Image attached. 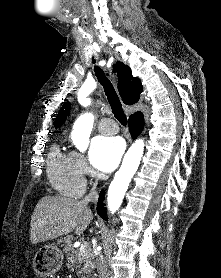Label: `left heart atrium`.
Instances as JSON below:
<instances>
[{
  "mask_svg": "<svg viewBox=\"0 0 221 278\" xmlns=\"http://www.w3.org/2000/svg\"><path fill=\"white\" fill-rule=\"evenodd\" d=\"M123 150L124 144L119 137L98 136L91 143L90 163L97 171L110 173L117 167Z\"/></svg>",
  "mask_w": 221,
  "mask_h": 278,
  "instance_id": "obj_1",
  "label": "left heart atrium"
}]
</instances>
